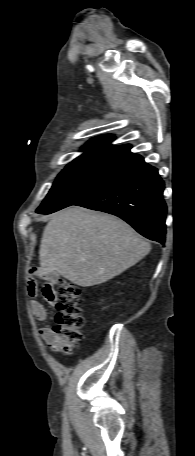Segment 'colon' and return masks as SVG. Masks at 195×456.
<instances>
[{"label": "colon", "mask_w": 195, "mask_h": 456, "mask_svg": "<svg viewBox=\"0 0 195 456\" xmlns=\"http://www.w3.org/2000/svg\"><path fill=\"white\" fill-rule=\"evenodd\" d=\"M56 309L53 330L59 339L51 346L58 352L70 355L82 339L81 328L84 324L81 291L76 284L67 280L59 282Z\"/></svg>", "instance_id": "obj_1"}]
</instances>
